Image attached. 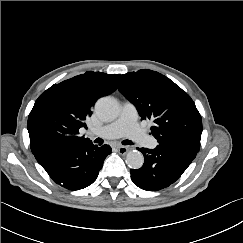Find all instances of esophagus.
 <instances>
[{
    "instance_id": "1",
    "label": "esophagus",
    "mask_w": 243,
    "mask_h": 243,
    "mask_svg": "<svg viewBox=\"0 0 243 243\" xmlns=\"http://www.w3.org/2000/svg\"><path fill=\"white\" fill-rule=\"evenodd\" d=\"M116 149L120 154H126L129 150L126 146H118Z\"/></svg>"
}]
</instances>
